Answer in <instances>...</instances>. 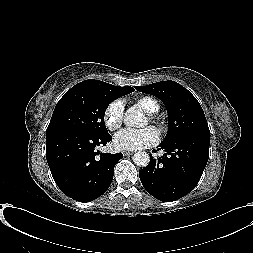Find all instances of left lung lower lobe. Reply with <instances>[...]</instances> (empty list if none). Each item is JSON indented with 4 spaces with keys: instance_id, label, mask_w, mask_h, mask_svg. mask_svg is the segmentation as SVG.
Returning <instances> with one entry per match:
<instances>
[{
    "instance_id": "1",
    "label": "left lung lower lobe",
    "mask_w": 253,
    "mask_h": 253,
    "mask_svg": "<svg viewBox=\"0 0 253 253\" xmlns=\"http://www.w3.org/2000/svg\"><path fill=\"white\" fill-rule=\"evenodd\" d=\"M210 136L187 133L162 142L166 153L139 171L145 190L170 202L187 195L199 182L209 157Z\"/></svg>"
}]
</instances>
